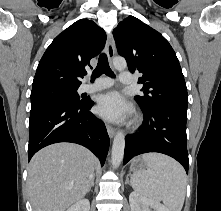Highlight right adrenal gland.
<instances>
[{"mask_svg":"<svg viewBox=\"0 0 221 211\" xmlns=\"http://www.w3.org/2000/svg\"><path fill=\"white\" fill-rule=\"evenodd\" d=\"M94 176H93V178H92V182H91V186H90V188H89V190H88V192H90V190H91V187H93L94 186Z\"/></svg>","mask_w":221,"mask_h":211,"instance_id":"1","label":"right adrenal gland"}]
</instances>
